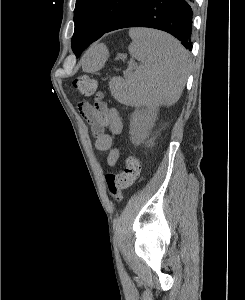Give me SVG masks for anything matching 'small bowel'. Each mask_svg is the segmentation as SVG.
I'll list each match as a JSON object with an SVG mask.
<instances>
[{
    "instance_id": "obj_1",
    "label": "small bowel",
    "mask_w": 245,
    "mask_h": 300,
    "mask_svg": "<svg viewBox=\"0 0 245 300\" xmlns=\"http://www.w3.org/2000/svg\"><path fill=\"white\" fill-rule=\"evenodd\" d=\"M103 95L97 96L95 104L80 103L79 111L90 126L99 151H108L107 164L115 167L119 160V150L114 147V137L123 131V122L114 108L103 101Z\"/></svg>"
}]
</instances>
